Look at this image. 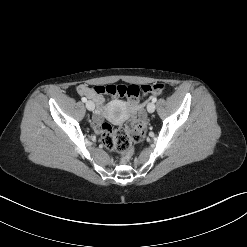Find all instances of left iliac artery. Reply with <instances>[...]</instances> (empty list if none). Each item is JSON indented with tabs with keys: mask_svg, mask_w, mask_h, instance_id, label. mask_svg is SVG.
<instances>
[{
	"mask_svg": "<svg viewBox=\"0 0 247 247\" xmlns=\"http://www.w3.org/2000/svg\"><path fill=\"white\" fill-rule=\"evenodd\" d=\"M156 101H157V98H156V97H153V98H152V102L155 103Z\"/></svg>",
	"mask_w": 247,
	"mask_h": 247,
	"instance_id": "obj_1",
	"label": "left iliac artery"
}]
</instances>
